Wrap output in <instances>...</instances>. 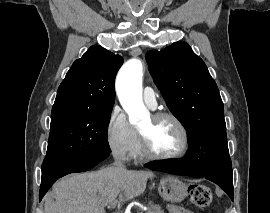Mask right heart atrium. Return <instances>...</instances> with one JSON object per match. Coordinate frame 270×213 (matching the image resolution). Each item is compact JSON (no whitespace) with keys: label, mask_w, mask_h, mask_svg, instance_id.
<instances>
[{"label":"right heart atrium","mask_w":270,"mask_h":213,"mask_svg":"<svg viewBox=\"0 0 270 213\" xmlns=\"http://www.w3.org/2000/svg\"><path fill=\"white\" fill-rule=\"evenodd\" d=\"M106 141L110 152L117 159L127 161L133 157L137 132L118 105L114 106L110 113L106 126Z\"/></svg>","instance_id":"right-heart-atrium-1"}]
</instances>
